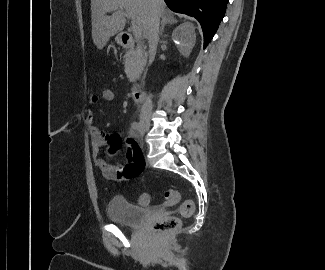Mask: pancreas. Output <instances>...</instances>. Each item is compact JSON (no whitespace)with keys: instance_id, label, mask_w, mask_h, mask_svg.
I'll return each instance as SVG.
<instances>
[{"instance_id":"obj_1","label":"pancreas","mask_w":325,"mask_h":270,"mask_svg":"<svg viewBox=\"0 0 325 270\" xmlns=\"http://www.w3.org/2000/svg\"><path fill=\"white\" fill-rule=\"evenodd\" d=\"M147 62V53L141 45L131 48L125 55V73L130 82L134 83L144 71Z\"/></svg>"}]
</instances>
